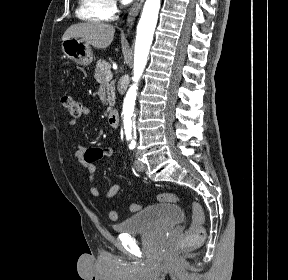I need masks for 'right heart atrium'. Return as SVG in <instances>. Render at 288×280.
Returning a JSON list of instances; mask_svg holds the SVG:
<instances>
[{
  "mask_svg": "<svg viewBox=\"0 0 288 280\" xmlns=\"http://www.w3.org/2000/svg\"><path fill=\"white\" fill-rule=\"evenodd\" d=\"M105 2V14L107 19H112L118 12V1L117 0H104Z\"/></svg>",
  "mask_w": 288,
  "mask_h": 280,
  "instance_id": "d8ad5b80",
  "label": "right heart atrium"
}]
</instances>
